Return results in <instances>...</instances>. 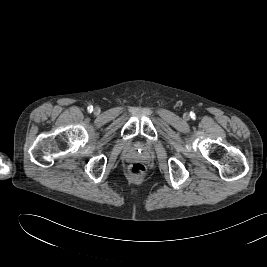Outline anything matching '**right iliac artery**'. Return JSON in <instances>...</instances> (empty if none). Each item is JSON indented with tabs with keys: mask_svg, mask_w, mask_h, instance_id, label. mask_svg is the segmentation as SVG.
Listing matches in <instances>:
<instances>
[{
	"mask_svg": "<svg viewBox=\"0 0 267 267\" xmlns=\"http://www.w3.org/2000/svg\"><path fill=\"white\" fill-rule=\"evenodd\" d=\"M87 110H88V112L91 113V112L93 111V106H92V105L88 106V107H87Z\"/></svg>",
	"mask_w": 267,
	"mask_h": 267,
	"instance_id": "right-iliac-artery-1",
	"label": "right iliac artery"
}]
</instances>
